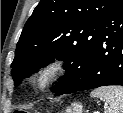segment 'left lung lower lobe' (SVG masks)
<instances>
[{
    "label": "left lung lower lobe",
    "instance_id": "1",
    "mask_svg": "<svg viewBox=\"0 0 123 113\" xmlns=\"http://www.w3.org/2000/svg\"><path fill=\"white\" fill-rule=\"evenodd\" d=\"M108 85L123 86V0H114L101 21L84 80L60 95Z\"/></svg>",
    "mask_w": 123,
    "mask_h": 113
}]
</instances>
